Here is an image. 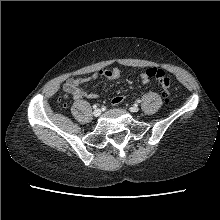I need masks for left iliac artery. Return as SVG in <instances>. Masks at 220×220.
<instances>
[{"mask_svg": "<svg viewBox=\"0 0 220 220\" xmlns=\"http://www.w3.org/2000/svg\"><path fill=\"white\" fill-rule=\"evenodd\" d=\"M136 102H137V103H140V102H141V100H140V99H138Z\"/></svg>", "mask_w": 220, "mask_h": 220, "instance_id": "44dca946", "label": "left iliac artery"}]
</instances>
